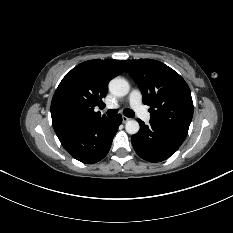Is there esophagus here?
Instances as JSON below:
<instances>
[{
  "label": "esophagus",
  "mask_w": 233,
  "mask_h": 233,
  "mask_svg": "<svg viewBox=\"0 0 233 233\" xmlns=\"http://www.w3.org/2000/svg\"><path fill=\"white\" fill-rule=\"evenodd\" d=\"M130 119L126 116H122V122L126 123L127 121H129Z\"/></svg>",
  "instance_id": "1"
}]
</instances>
